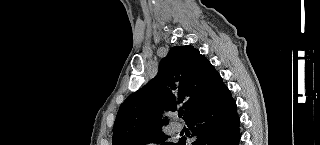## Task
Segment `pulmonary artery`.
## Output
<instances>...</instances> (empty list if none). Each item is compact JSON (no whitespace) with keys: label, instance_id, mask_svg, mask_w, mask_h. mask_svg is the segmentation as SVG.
Returning <instances> with one entry per match:
<instances>
[{"label":"pulmonary artery","instance_id":"1","mask_svg":"<svg viewBox=\"0 0 320 145\" xmlns=\"http://www.w3.org/2000/svg\"><path fill=\"white\" fill-rule=\"evenodd\" d=\"M171 127L174 132H181L183 130V125L179 122H174Z\"/></svg>","mask_w":320,"mask_h":145}]
</instances>
